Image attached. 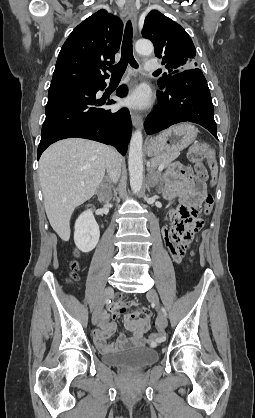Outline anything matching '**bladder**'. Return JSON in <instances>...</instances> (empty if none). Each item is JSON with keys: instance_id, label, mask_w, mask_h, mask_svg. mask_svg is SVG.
<instances>
[{"instance_id": "1", "label": "bladder", "mask_w": 255, "mask_h": 418, "mask_svg": "<svg viewBox=\"0 0 255 418\" xmlns=\"http://www.w3.org/2000/svg\"><path fill=\"white\" fill-rule=\"evenodd\" d=\"M159 353L155 349L136 346L125 351L110 353L103 356V361L109 365L139 369L155 363Z\"/></svg>"}]
</instances>
